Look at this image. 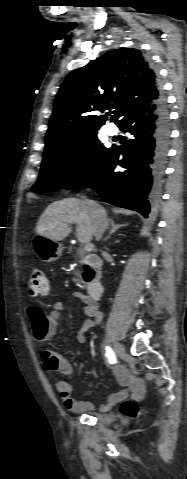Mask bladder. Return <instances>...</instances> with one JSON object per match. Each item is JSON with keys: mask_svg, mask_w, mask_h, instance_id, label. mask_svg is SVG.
I'll use <instances>...</instances> for the list:
<instances>
[{"mask_svg": "<svg viewBox=\"0 0 187 479\" xmlns=\"http://www.w3.org/2000/svg\"><path fill=\"white\" fill-rule=\"evenodd\" d=\"M93 417L101 424H104V425H109L112 420L105 416V415H102V414H96V415H93Z\"/></svg>", "mask_w": 187, "mask_h": 479, "instance_id": "31cf9c89", "label": "bladder"}]
</instances>
